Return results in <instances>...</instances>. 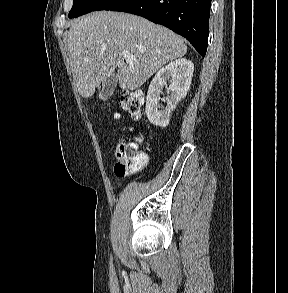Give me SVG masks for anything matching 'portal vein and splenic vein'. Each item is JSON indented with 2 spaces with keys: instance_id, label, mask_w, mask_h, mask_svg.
Segmentation results:
<instances>
[{
  "instance_id": "obj_1",
  "label": "portal vein and splenic vein",
  "mask_w": 288,
  "mask_h": 293,
  "mask_svg": "<svg viewBox=\"0 0 288 293\" xmlns=\"http://www.w3.org/2000/svg\"><path fill=\"white\" fill-rule=\"evenodd\" d=\"M121 56L126 60V61H134L136 58L130 54L129 52L125 51L121 53Z\"/></svg>"
}]
</instances>
